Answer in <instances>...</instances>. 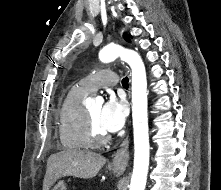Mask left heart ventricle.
Instances as JSON below:
<instances>
[{
	"label": "left heart ventricle",
	"mask_w": 221,
	"mask_h": 190,
	"mask_svg": "<svg viewBox=\"0 0 221 190\" xmlns=\"http://www.w3.org/2000/svg\"><path fill=\"white\" fill-rule=\"evenodd\" d=\"M102 106L101 104H94L88 108L89 114L91 116V120L94 124V128L98 133H106L100 127V114H101Z\"/></svg>",
	"instance_id": "b2bd125f"
}]
</instances>
